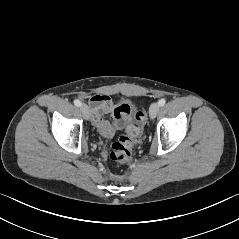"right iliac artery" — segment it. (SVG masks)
I'll list each match as a JSON object with an SVG mask.
<instances>
[{
    "label": "right iliac artery",
    "instance_id": "obj_1",
    "mask_svg": "<svg viewBox=\"0 0 239 239\" xmlns=\"http://www.w3.org/2000/svg\"><path fill=\"white\" fill-rule=\"evenodd\" d=\"M74 104H75L76 106H78V107L81 106V102H80V100H78V99H75V100H74Z\"/></svg>",
    "mask_w": 239,
    "mask_h": 239
}]
</instances>
